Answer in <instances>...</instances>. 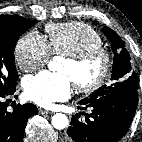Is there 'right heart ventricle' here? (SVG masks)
I'll use <instances>...</instances> for the list:
<instances>
[{
  "label": "right heart ventricle",
  "instance_id": "1",
  "mask_svg": "<svg viewBox=\"0 0 142 142\" xmlns=\"http://www.w3.org/2000/svg\"><path fill=\"white\" fill-rule=\"evenodd\" d=\"M46 31L47 43L52 54L76 55L103 45L100 34L83 22L48 24Z\"/></svg>",
  "mask_w": 142,
  "mask_h": 142
}]
</instances>
